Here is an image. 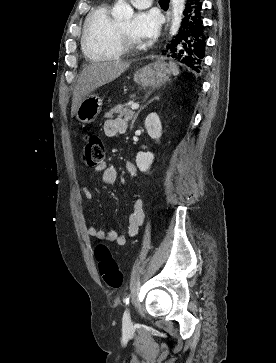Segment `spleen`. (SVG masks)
<instances>
[{
	"label": "spleen",
	"mask_w": 276,
	"mask_h": 363,
	"mask_svg": "<svg viewBox=\"0 0 276 363\" xmlns=\"http://www.w3.org/2000/svg\"><path fill=\"white\" fill-rule=\"evenodd\" d=\"M170 69L174 76L179 75L180 72H179L178 67L175 65V63H173V62L170 63Z\"/></svg>",
	"instance_id": "3e777b00"
}]
</instances>
